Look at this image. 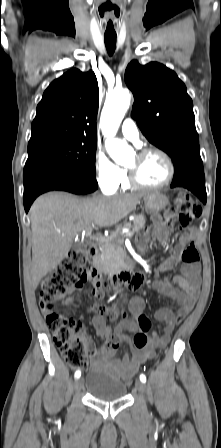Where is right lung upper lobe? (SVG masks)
Returning a JSON list of instances; mask_svg holds the SVG:
<instances>
[{
  "mask_svg": "<svg viewBox=\"0 0 221 448\" xmlns=\"http://www.w3.org/2000/svg\"><path fill=\"white\" fill-rule=\"evenodd\" d=\"M98 105L94 72H66L45 90L32 123L28 148L60 140L97 139Z\"/></svg>",
  "mask_w": 221,
  "mask_h": 448,
  "instance_id": "obj_1",
  "label": "right lung upper lobe"
}]
</instances>
